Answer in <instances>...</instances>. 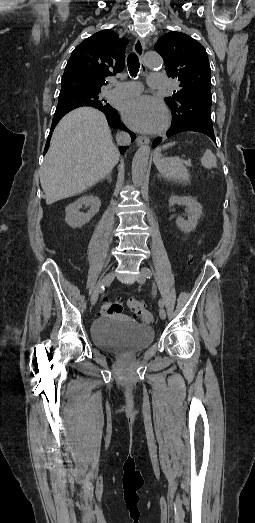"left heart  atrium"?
Returning <instances> with one entry per match:
<instances>
[{"instance_id": "1", "label": "left heart atrium", "mask_w": 255, "mask_h": 523, "mask_svg": "<svg viewBox=\"0 0 255 523\" xmlns=\"http://www.w3.org/2000/svg\"><path fill=\"white\" fill-rule=\"evenodd\" d=\"M121 112L131 127L144 132L159 130L166 117V109L162 102L149 96H138L124 101Z\"/></svg>"}]
</instances>
